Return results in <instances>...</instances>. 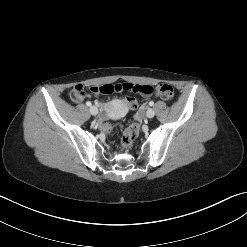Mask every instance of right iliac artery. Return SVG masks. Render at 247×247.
Wrapping results in <instances>:
<instances>
[{
    "label": "right iliac artery",
    "instance_id": "right-iliac-artery-1",
    "mask_svg": "<svg viewBox=\"0 0 247 247\" xmlns=\"http://www.w3.org/2000/svg\"><path fill=\"white\" fill-rule=\"evenodd\" d=\"M86 105H87V106H91L92 103H91L90 101H87V102H86Z\"/></svg>",
    "mask_w": 247,
    "mask_h": 247
}]
</instances>
